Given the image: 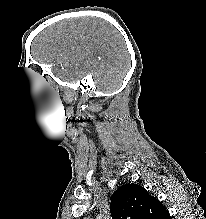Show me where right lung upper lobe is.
<instances>
[{
    "label": "right lung upper lobe",
    "mask_w": 206,
    "mask_h": 219,
    "mask_svg": "<svg viewBox=\"0 0 206 219\" xmlns=\"http://www.w3.org/2000/svg\"><path fill=\"white\" fill-rule=\"evenodd\" d=\"M110 199L112 219H171L161 202L140 185L125 184Z\"/></svg>",
    "instance_id": "obj_1"
}]
</instances>
